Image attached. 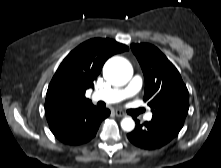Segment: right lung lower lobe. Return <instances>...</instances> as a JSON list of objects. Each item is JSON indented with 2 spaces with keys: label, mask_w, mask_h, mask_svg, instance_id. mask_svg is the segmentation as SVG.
I'll return each instance as SVG.
<instances>
[{
  "label": "right lung lower lobe",
  "mask_w": 221,
  "mask_h": 168,
  "mask_svg": "<svg viewBox=\"0 0 221 168\" xmlns=\"http://www.w3.org/2000/svg\"><path fill=\"white\" fill-rule=\"evenodd\" d=\"M109 115L108 109L101 110L91 105L46 118L58 140L68 145H79L90 141L96 135L101 121Z\"/></svg>",
  "instance_id": "1"
}]
</instances>
